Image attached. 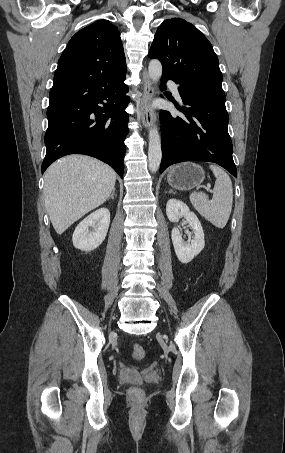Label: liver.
I'll return each mask as SVG.
<instances>
[{
	"label": "liver",
	"mask_w": 285,
	"mask_h": 453,
	"mask_svg": "<svg viewBox=\"0 0 285 453\" xmlns=\"http://www.w3.org/2000/svg\"><path fill=\"white\" fill-rule=\"evenodd\" d=\"M116 176L110 166L88 156L70 155L54 162L44 175V198L57 234L103 204L114 189Z\"/></svg>",
	"instance_id": "1"
}]
</instances>
